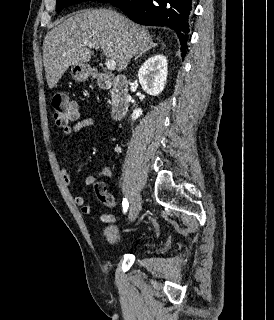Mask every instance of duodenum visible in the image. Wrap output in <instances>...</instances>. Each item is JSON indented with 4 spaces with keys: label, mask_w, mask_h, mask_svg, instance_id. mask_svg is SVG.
<instances>
[{
    "label": "duodenum",
    "mask_w": 274,
    "mask_h": 320,
    "mask_svg": "<svg viewBox=\"0 0 274 320\" xmlns=\"http://www.w3.org/2000/svg\"><path fill=\"white\" fill-rule=\"evenodd\" d=\"M94 78L101 90H112L111 115L113 118H121L125 115L130 105L129 79L125 76L110 77L107 74L96 72Z\"/></svg>",
    "instance_id": "410a0bca"
}]
</instances>
